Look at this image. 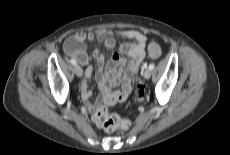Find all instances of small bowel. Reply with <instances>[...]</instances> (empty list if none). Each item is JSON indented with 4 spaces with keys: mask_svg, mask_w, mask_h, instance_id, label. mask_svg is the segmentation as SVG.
<instances>
[{
    "mask_svg": "<svg viewBox=\"0 0 230 155\" xmlns=\"http://www.w3.org/2000/svg\"><path fill=\"white\" fill-rule=\"evenodd\" d=\"M116 38L126 41L121 45V51L129 56V59L113 53L110 61L105 65V55L102 49L93 52V58L98 64L96 79L101 89L102 96L95 102L90 101V78L93 67L87 66L85 80L81 86V98L86 108L93 112L102 105H114L123 102L132 91L133 77L139 70L141 62L146 56L147 37L137 30L112 31L98 29L92 32L76 33L69 37L65 44V53L77 61L80 65L88 64V55L83 46L85 41H98L104 50H111L116 45ZM115 97V98H114Z\"/></svg>",
    "mask_w": 230,
    "mask_h": 155,
    "instance_id": "c3829d8e",
    "label": "small bowel"
}]
</instances>
